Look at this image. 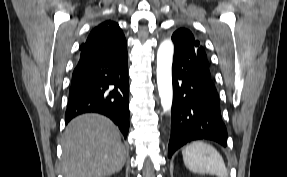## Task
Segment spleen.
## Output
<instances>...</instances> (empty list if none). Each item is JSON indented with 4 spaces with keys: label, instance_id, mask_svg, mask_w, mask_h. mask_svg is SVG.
<instances>
[{
    "label": "spleen",
    "instance_id": "1",
    "mask_svg": "<svg viewBox=\"0 0 287 177\" xmlns=\"http://www.w3.org/2000/svg\"><path fill=\"white\" fill-rule=\"evenodd\" d=\"M182 156L186 168L194 173L228 177L222 156L207 143L194 141L188 144L182 150Z\"/></svg>",
    "mask_w": 287,
    "mask_h": 177
}]
</instances>
